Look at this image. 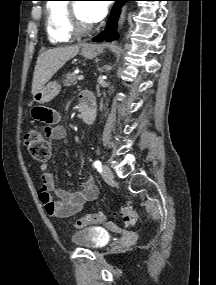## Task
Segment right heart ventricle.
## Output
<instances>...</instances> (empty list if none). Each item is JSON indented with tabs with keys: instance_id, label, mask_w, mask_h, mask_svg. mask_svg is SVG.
<instances>
[{
	"instance_id": "right-heart-ventricle-1",
	"label": "right heart ventricle",
	"mask_w": 216,
	"mask_h": 285,
	"mask_svg": "<svg viewBox=\"0 0 216 285\" xmlns=\"http://www.w3.org/2000/svg\"><path fill=\"white\" fill-rule=\"evenodd\" d=\"M45 29L52 44H64L72 39L66 23L67 3L62 0H51L45 7Z\"/></svg>"
}]
</instances>
